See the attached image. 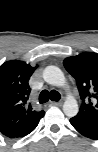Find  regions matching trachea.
Here are the masks:
<instances>
[{"mask_svg":"<svg viewBox=\"0 0 98 152\" xmlns=\"http://www.w3.org/2000/svg\"><path fill=\"white\" fill-rule=\"evenodd\" d=\"M61 98V95L58 91L56 90H43L41 91L40 95H39V102L42 103H46L50 100L52 101H59Z\"/></svg>","mask_w":98,"mask_h":152,"instance_id":"1","label":"trachea"}]
</instances>
